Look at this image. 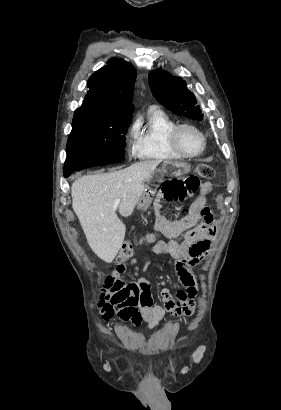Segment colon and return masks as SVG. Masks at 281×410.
Returning <instances> with one entry per match:
<instances>
[{"label": "colon", "mask_w": 281, "mask_h": 410, "mask_svg": "<svg viewBox=\"0 0 281 410\" xmlns=\"http://www.w3.org/2000/svg\"><path fill=\"white\" fill-rule=\"evenodd\" d=\"M214 169L207 164H198L195 168V176L188 177L183 180H171L167 181L162 186V196L167 202H177L183 201L188 196H190L199 186V179L210 180L214 177ZM147 240H152L151 236L146 238ZM135 247L134 241H126L121 246L118 255L117 261L120 263L126 262L132 255ZM193 307V304H191ZM187 312H190L188 309ZM133 315H137V312L131 311ZM121 317L127 319L124 313L120 312ZM138 325V319L135 318V323Z\"/></svg>", "instance_id": "obj_1"}]
</instances>
